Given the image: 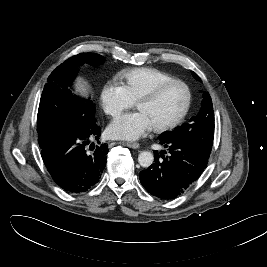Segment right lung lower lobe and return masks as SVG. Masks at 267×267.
Here are the masks:
<instances>
[{"instance_id": "98d812e1", "label": "right lung lower lobe", "mask_w": 267, "mask_h": 267, "mask_svg": "<svg viewBox=\"0 0 267 267\" xmlns=\"http://www.w3.org/2000/svg\"><path fill=\"white\" fill-rule=\"evenodd\" d=\"M100 135L95 123L86 130L63 132L41 148L47 170L65 191L85 192L99 181L109 152L106 144L92 142Z\"/></svg>"}]
</instances>
